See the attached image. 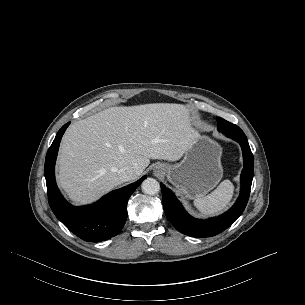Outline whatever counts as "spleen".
<instances>
[{
    "instance_id": "spleen-1",
    "label": "spleen",
    "mask_w": 305,
    "mask_h": 305,
    "mask_svg": "<svg viewBox=\"0 0 305 305\" xmlns=\"http://www.w3.org/2000/svg\"><path fill=\"white\" fill-rule=\"evenodd\" d=\"M234 186L230 180H224L210 194H201L194 200L195 207L203 215H214L224 210L230 203Z\"/></svg>"
}]
</instances>
